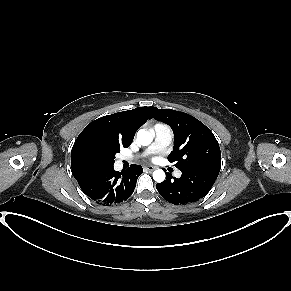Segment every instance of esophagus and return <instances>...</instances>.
Wrapping results in <instances>:
<instances>
[{"label":"esophagus","instance_id":"obj_1","mask_svg":"<svg viewBox=\"0 0 291 291\" xmlns=\"http://www.w3.org/2000/svg\"><path fill=\"white\" fill-rule=\"evenodd\" d=\"M157 167H155V166H151V165H149V166H145L144 167V170H146V171H149V172H152L153 170H155Z\"/></svg>","mask_w":291,"mask_h":291}]
</instances>
